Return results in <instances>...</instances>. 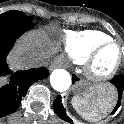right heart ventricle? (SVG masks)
Returning a JSON list of instances; mask_svg holds the SVG:
<instances>
[{
	"instance_id": "obj_1",
	"label": "right heart ventricle",
	"mask_w": 124,
	"mask_h": 124,
	"mask_svg": "<svg viewBox=\"0 0 124 124\" xmlns=\"http://www.w3.org/2000/svg\"><path fill=\"white\" fill-rule=\"evenodd\" d=\"M111 40L108 34L96 29L65 31L61 39V47L73 63L84 64L97 45Z\"/></svg>"
}]
</instances>
